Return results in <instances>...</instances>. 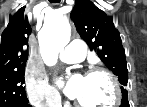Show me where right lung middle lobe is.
Returning a JSON list of instances; mask_svg holds the SVG:
<instances>
[{"label": "right lung middle lobe", "mask_w": 147, "mask_h": 107, "mask_svg": "<svg viewBox=\"0 0 147 107\" xmlns=\"http://www.w3.org/2000/svg\"><path fill=\"white\" fill-rule=\"evenodd\" d=\"M25 67L0 74V107H18L28 103L24 84Z\"/></svg>", "instance_id": "obj_1"}]
</instances>
